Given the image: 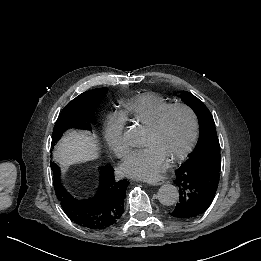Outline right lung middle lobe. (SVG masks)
I'll list each match as a JSON object with an SVG mask.
<instances>
[{"label": "right lung middle lobe", "instance_id": "1", "mask_svg": "<svg viewBox=\"0 0 261 261\" xmlns=\"http://www.w3.org/2000/svg\"><path fill=\"white\" fill-rule=\"evenodd\" d=\"M107 89L98 88L84 92L69 102L61 111L53 130L52 146L61 138L69 128L91 129L90 118L93 116L97 105L102 101ZM54 175H59L60 169L51 162Z\"/></svg>", "mask_w": 261, "mask_h": 261}]
</instances>
